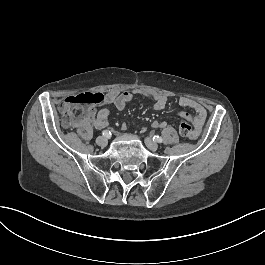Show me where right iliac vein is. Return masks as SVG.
Wrapping results in <instances>:
<instances>
[{"instance_id": "obj_1", "label": "right iliac vein", "mask_w": 265, "mask_h": 265, "mask_svg": "<svg viewBox=\"0 0 265 265\" xmlns=\"http://www.w3.org/2000/svg\"><path fill=\"white\" fill-rule=\"evenodd\" d=\"M96 143L101 147H105L108 143V140L104 136H99L96 138Z\"/></svg>"}]
</instances>
